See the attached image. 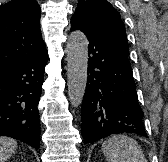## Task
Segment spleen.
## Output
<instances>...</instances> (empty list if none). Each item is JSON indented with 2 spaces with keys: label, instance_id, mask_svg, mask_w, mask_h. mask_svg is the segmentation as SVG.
Here are the masks:
<instances>
[{
  "label": "spleen",
  "instance_id": "1",
  "mask_svg": "<svg viewBox=\"0 0 168 162\" xmlns=\"http://www.w3.org/2000/svg\"><path fill=\"white\" fill-rule=\"evenodd\" d=\"M108 162H148L138 143L127 135H114L102 144Z\"/></svg>",
  "mask_w": 168,
  "mask_h": 162
}]
</instances>
